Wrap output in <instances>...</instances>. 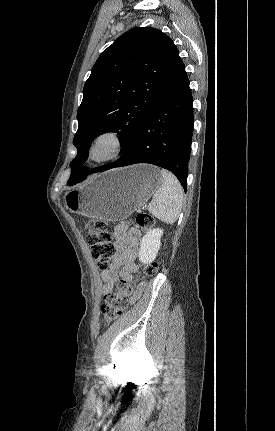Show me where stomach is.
<instances>
[{
  "label": "stomach",
  "mask_w": 275,
  "mask_h": 431,
  "mask_svg": "<svg viewBox=\"0 0 275 431\" xmlns=\"http://www.w3.org/2000/svg\"><path fill=\"white\" fill-rule=\"evenodd\" d=\"M159 169L137 164L106 171L89 184L64 195L71 213L105 221H120L142 207L161 184Z\"/></svg>",
  "instance_id": "stomach-1"
}]
</instances>
